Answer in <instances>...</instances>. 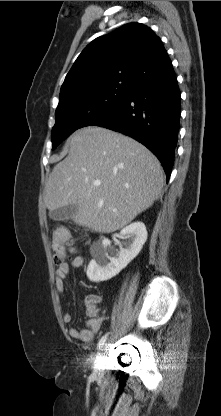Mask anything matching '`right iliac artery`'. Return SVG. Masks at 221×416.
<instances>
[{"mask_svg": "<svg viewBox=\"0 0 221 416\" xmlns=\"http://www.w3.org/2000/svg\"><path fill=\"white\" fill-rule=\"evenodd\" d=\"M106 340H107V335H104V336L101 337V339L98 342V348L99 349L105 344Z\"/></svg>", "mask_w": 221, "mask_h": 416, "instance_id": "82829eb1", "label": "right iliac artery"}]
</instances>
